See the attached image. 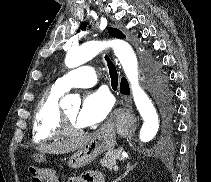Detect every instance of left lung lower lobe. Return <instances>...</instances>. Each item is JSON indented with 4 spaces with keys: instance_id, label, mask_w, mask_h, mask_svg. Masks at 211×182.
<instances>
[{
    "instance_id": "1",
    "label": "left lung lower lobe",
    "mask_w": 211,
    "mask_h": 182,
    "mask_svg": "<svg viewBox=\"0 0 211 182\" xmlns=\"http://www.w3.org/2000/svg\"><path fill=\"white\" fill-rule=\"evenodd\" d=\"M148 80L150 87L158 94V96L162 97L163 95L166 94L164 88V78L161 75H159L155 67H150ZM120 92L122 94L130 93L129 85L125 78L121 79Z\"/></svg>"
}]
</instances>
